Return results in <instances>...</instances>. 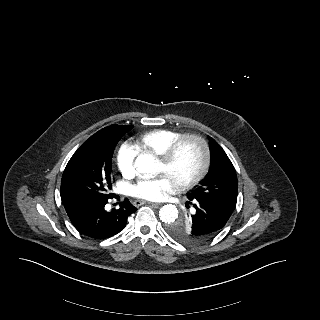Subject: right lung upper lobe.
<instances>
[{"mask_svg": "<svg viewBox=\"0 0 320 320\" xmlns=\"http://www.w3.org/2000/svg\"><path fill=\"white\" fill-rule=\"evenodd\" d=\"M126 128V127H130L129 125H117V124H113L111 126H108V127H105V128H108V129H111V128Z\"/></svg>", "mask_w": 320, "mask_h": 320, "instance_id": "right-lung-upper-lobe-1", "label": "right lung upper lobe"}]
</instances>
